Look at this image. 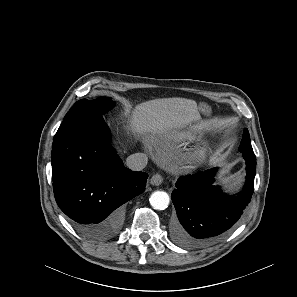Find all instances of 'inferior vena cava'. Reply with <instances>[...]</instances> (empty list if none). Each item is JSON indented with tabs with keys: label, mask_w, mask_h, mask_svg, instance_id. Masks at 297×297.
Wrapping results in <instances>:
<instances>
[{
	"label": "inferior vena cava",
	"mask_w": 297,
	"mask_h": 297,
	"mask_svg": "<svg viewBox=\"0 0 297 297\" xmlns=\"http://www.w3.org/2000/svg\"><path fill=\"white\" fill-rule=\"evenodd\" d=\"M148 157L144 153H135L127 157L126 164L132 171H141L146 167Z\"/></svg>",
	"instance_id": "602c4592"
}]
</instances>
